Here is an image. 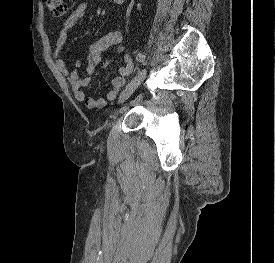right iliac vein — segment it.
Segmentation results:
<instances>
[{
	"instance_id": "obj_1",
	"label": "right iliac vein",
	"mask_w": 275,
	"mask_h": 263,
	"mask_svg": "<svg viewBox=\"0 0 275 263\" xmlns=\"http://www.w3.org/2000/svg\"><path fill=\"white\" fill-rule=\"evenodd\" d=\"M146 77V71L143 70L127 85L125 90L119 96V102L123 103L135 91V89L143 82Z\"/></svg>"
}]
</instances>
